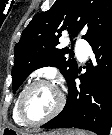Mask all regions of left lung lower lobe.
Returning <instances> with one entry per match:
<instances>
[{
  "instance_id": "obj_1",
  "label": "left lung lower lobe",
  "mask_w": 112,
  "mask_h": 135,
  "mask_svg": "<svg viewBox=\"0 0 112 135\" xmlns=\"http://www.w3.org/2000/svg\"><path fill=\"white\" fill-rule=\"evenodd\" d=\"M97 65H88L78 77V69L68 83L69 94L64 109L41 128H79L109 135L112 126V21L90 43ZM75 78L80 79L76 85Z\"/></svg>"
}]
</instances>
